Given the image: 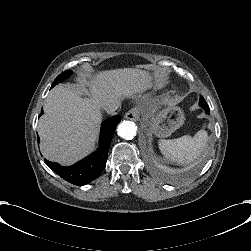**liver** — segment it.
Segmentation results:
<instances>
[{
	"label": "liver",
	"mask_w": 251,
	"mask_h": 251,
	"mask_svg": "<svg viewBox=\"0 0 251 251\" xmlns=\"http://www.w3.org/2000/svg\"><path fill=\"white\" fill-rule=\"evenodd\" d=\"M82 87L72 84L55 86L44 102V115L37 132L45 158L71 165L86 156L95 146L102 114L100 109L111 101L120 102L148 89H157L152 77L140 68H120L81 75ZM91 97L82 98L81 91Z\"/></svg>",
	"instance_id": "1"
}]
</instances>
